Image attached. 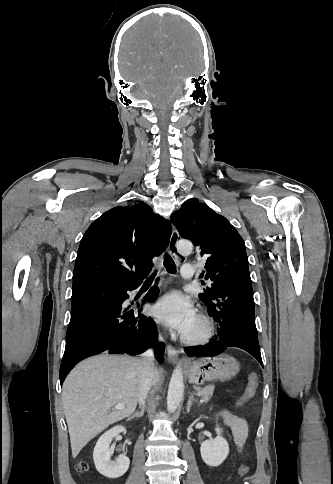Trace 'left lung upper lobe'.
<instances>
[{"mask_svg": "<svg viewBox=\"0 0 333 484\" xmlns=\"http://www.w3.org/2000/svg\"><path fill=\"white\" fill-rule=\"evenodd\" d=\"M171 221L181 237L197 246L198 255L207 258L202 275L213 283L199 297L206 305L213 304L219 300L216 298L219 272L232 265L248 264L242 237L225 217L198 201L184 203L172 214Z\"/></svg>", "mask_w": 333, "mask_h": 484, "instance_id": "5c2ea615", "label": "left lung upper lobe"}]
</instances>
